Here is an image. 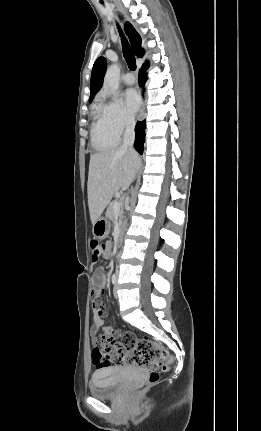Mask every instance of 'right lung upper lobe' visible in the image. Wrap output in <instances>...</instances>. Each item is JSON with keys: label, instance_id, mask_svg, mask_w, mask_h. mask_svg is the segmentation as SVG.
Masks as SVG:
<instances>
[{"label": "right lung upper lobe", "instance_id": "cb5924a9", "mask_svg": "<svg viewBox=\"0 0 261 431\" xmlns=\"http://www.w3.org/2000/svg\"><path fill=\"white\" fill-rule=\"evenodd\" d=\"M125 31L129 37L134 53L137 56L142 57L144 50L141 48V38L139 34L129 22L125 23ZM106 68V59L104 57H99L95 61L92 69L89 101L93 99L94 95L102 87Z\"/></svg>", "mask_w": 261, "mask_h": 431}]
</instances>
